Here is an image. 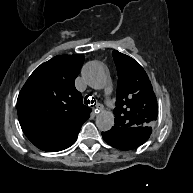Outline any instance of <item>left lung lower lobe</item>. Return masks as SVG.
Listing matches in <instances>:
<instances>
[{"instance_id": "left-lung-lower-lobe-1", "label": "left lung lower lobe", "mask_w": 193, "mask_h": 193, "mask_svg": "<svg viewBox=\"0 0 193 193\" xmlns=\"http://www.w3.org/2000/svg\"><path fill=\"white\" fill-rule=\"evenodd\" d=\"M152 129L150 127H142L137 131H127L120 127H112L107 132H102L104 140L111 146L121 150H132L145 143Z\"/></svg>"}]
</instances>
